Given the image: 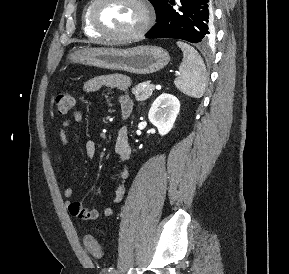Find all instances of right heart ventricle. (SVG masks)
<instances>
[{
	"label": "right heart ventricle",
	"instance_id": "1",
	"mask_svg": "<svg viewBox=\"0 0 289 274\" xmlns=\"http://www.w3.org/2000/svg\"><path fill=\"white\" fill-rule=\"evenodd\" d=\"M92 4V1L89 2L83 12V17H82V26L83 30L86 35L90 37H99L100 35L91 27L90 22H89V9Z\"/></svg>",
	"mask_w": 289,
	"mask_h": 274
}]
</instances>
